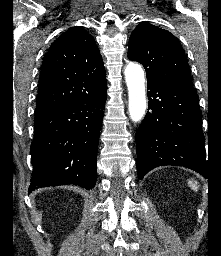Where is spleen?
<instances>
[{
    "label": "spleen",
    "instance_id": "3e777b00",
    "mask_svg": "<svg viewBox=\"0 0 221 256\" xmlns=\"http://www.w3.org/2000/svg\"><path fill=\"white\" fill-rule=\"evenodd\" d=\"M188 184H189V186L191 187L192 190L197 191V189H198L197 182H195L193 180H189Z\"/></svg>",
    "mask_w": 221,
    "mask_h": 256
}]
</instances>
